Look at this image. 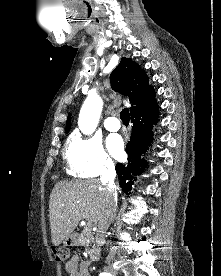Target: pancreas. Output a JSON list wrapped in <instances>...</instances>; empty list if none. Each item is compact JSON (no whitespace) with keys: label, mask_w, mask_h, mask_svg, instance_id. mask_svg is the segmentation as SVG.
<instances>
[{"label":"pancreas","mask_w":221,"mask_h":276,"mask_svg":"<svg viewBox=\"0 0 221 276\" xmlns=\"http://www.w3.org/2000/svg\"><path fill=\"white\" fill-rule=\"evenodd\" d=\"M92 243H94V237H93L91 228L86 226L82 230V232L79 236V239L77 241V244L88 248L89 246L92 245Z\"/></svg>","instance_id":"cf45deb5"}]
</instances>
